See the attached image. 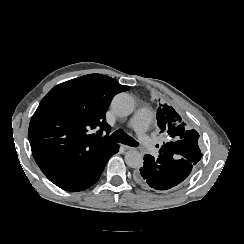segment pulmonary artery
<instances>
[{
  "label": "pulmonary artery",
  "instance_id": "e3ab8cb5",
  "mask_svg": "<svg viewBox=\"0 0 244 244\" xmlns=\"http://www.w3.org/2000/svg\"><path fill=\"white\" fill-rule=\"evenodd\" d=\"M151 113L146 108H138L126 121V128L131 133H137L139 144L148 148L151 145L150 139L146 136V127L150 124Z\"/></svg>",
  "mask_w": 244,
  "mask_h": 244
}]
</instances>
